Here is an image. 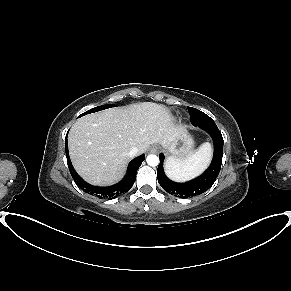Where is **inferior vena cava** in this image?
I'll use <instances>...</instances> for the list:
<instances>
[{
	"label": "inferior vena cava",
	"mask_w": 291,
	"mask_h": 291,
	"mask_svg": "<svg viewBox=\"0 0 291 291\" xmlns=\"http://www.w3.org/2000/svg\"><path fill=\"white\" fill-rule=\"evenodd\" d=\"M137 153H138V148L134 146L129 150L128 156L132 158V157L136 156Z\"/></svg>",
	"instance_id": "602c4592"
}]
</instances>
